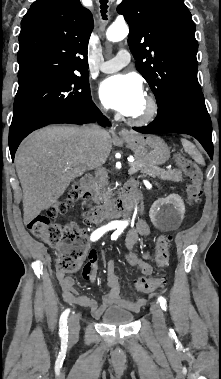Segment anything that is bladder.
<instances>
[{"instance_id":"obj_1","label":"bladder","mask_w":221,"mask_h":379,"mask_svg":"<svg viewBox=\"0 0 221 379\" xmlns=\"http://www.w3.org/2000/svg\"><path fill=\"white\" fill-rule=\"evenodd\" d=\"M134 314L121 307H110L101 316V320L109 325H125L134 321Z\"/></svg>"}]
</instances>
